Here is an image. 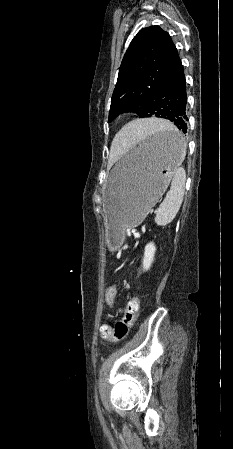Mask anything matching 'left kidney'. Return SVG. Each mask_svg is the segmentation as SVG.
Wrapping results in <instances>:
<instances>
[{
    "mask_svg": "<svg viewBox=\"0 0 233 449\" xmlns=\"http://www.w3.org/2000/svg\"><path fill=\"white\" fill-rule=\"evenodd\" d=\"M156 252V247L153 242L148 243L145 246L144 257H143V270L147 271L150 269Z\"/></svg>",
    "mask_w": 233,
    "mask_h": 449,
    "instance_id": "obj_1",
    "label": "left kidney"
}]
</instances>
